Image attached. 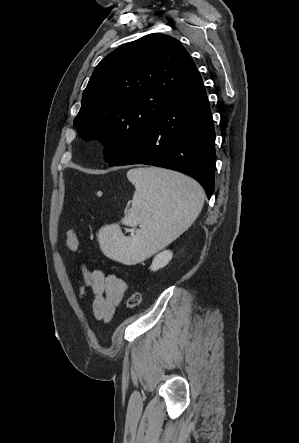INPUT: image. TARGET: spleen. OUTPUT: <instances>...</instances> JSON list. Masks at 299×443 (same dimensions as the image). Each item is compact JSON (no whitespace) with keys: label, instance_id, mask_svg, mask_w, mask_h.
Wrapping results in <instances>:
<instances>
[{"label":"spleen","instance_id":"obj_1","mask_svg":"<svg viewBox=\"0 0 299 443\" xmlns=\"http://www.w3.org/2000/svg\"><path fill=\"white\" fill-rule=\"evenodd\" d=\"M135 186L128 226L143 225L134 237L122 234L118 224L102 227L98 241L104 255L126 265L136 264L186 231L204 203L201 186L180 173L160 168H135L127 172Z\"/></svg>","mask_w":299,"mask_h":443}]
</instances>
